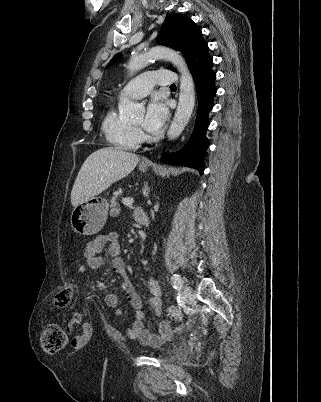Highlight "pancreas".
Returning <instances> with one entry per match:
<instances>
[{"mask_svg": "<svg viewBox=\"0 0 321 402\" xmlns=\"http://www.w3.org/2000/svg\"><path fill=\"white\" fill-rule=\"evenodd\" d=\"M120 213V208L117 202V196H113L110 200V216L116 217Z\"/></svg>", "mask_w": 321, "mask_h": 402, "instance_id": "pancreas-1", "label": "pancreas"}]
</instances>
